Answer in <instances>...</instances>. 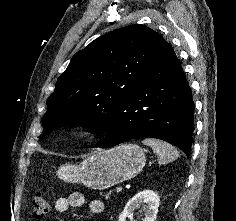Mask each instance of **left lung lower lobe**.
<instances>
[{
    "label": "left lung lower lobe",
    "mask_w": 236,
    "mask_h": 221,
    "mask_svg": "<svg viewBox=\"0 0 236 221\" xmlns=\"http://www.w3.org/2000/svg\"><path fill=\"white\" fill-rule=\"evenodd\" d=\"M193 130L191 89L175 52L166 43L117 110L100 147L152 137L177 146L189 156Z\"/></svg>",
    "instance_id": "0a47b994"
}]
</instances>
